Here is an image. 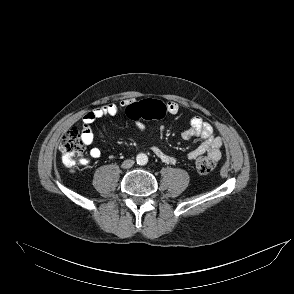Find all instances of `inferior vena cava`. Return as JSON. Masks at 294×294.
<instances>
[{
  "label": "inferior vena cava",
  "mask_w": 294,
  "mask_h": 294,
  "mask_svg": "<svg viewBox=\"0 0 294 294\" xmlns=\"http://www.w3.org/2000/svg\"><path fill=\"white\" fill-rule=\"evenodd\" d=\"M134 163H135L134 160L127 159V160L123 161L121 167L125 168V169H128V168H131L134 165Z\"/></svg>",
  "instance_id": "602c4592"
}]
</instances>
